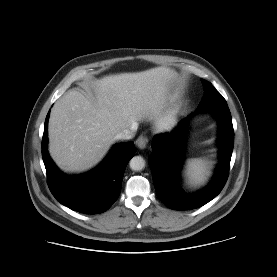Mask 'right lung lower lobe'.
<instances>
[{
    "label": "right lung lower lobe",
    "instance_id": "right-lung-lower-lobe-1",
    "mask_svg": "<svg viewBox=\"0 0 277 277\" xmlns=\"http://www.w3.org/2000/svg\"><path fill=\"white\" fill-rule=\"evenodd\" d=\"M47 114L42 138V158L48 186L58 202L85 214L107 211L120 194L124 171L134 156L133 142L115 145L106 158L93 170L78 176L62 173L47 152Z\"/></svg>",
    "mask_w": 277,
    "mask_h": 277
}]
</instances>
